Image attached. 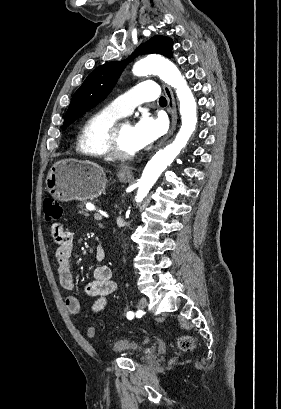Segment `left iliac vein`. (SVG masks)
<instances>
[{
	"instance_id": "1",
	"label": "left iliac vein",
	"mask_w": 281,
	"mask_h": 409,
	"mask_svg": "<svg viewBox=\"0 0 281 409\" xmlns=\"http://www.w3.org/2000/svg\"><path fill=\"white\" fill-rule=\"evenodd\" d=\"M148 305V301L146 298H141L138 302V309H144L145 307H147Z\"/></svg>"
}]
</instances>
